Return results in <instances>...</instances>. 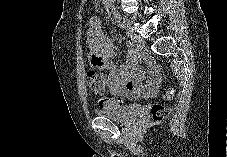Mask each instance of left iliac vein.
<instances>
[{"label":"left iliac vein","instance_id":"1","mask_svg":"<svg viewBox=\"0 0 227 157\" xmlns=\"http://www.w3.org/2000/svg\"><path fill=\"white\" fill-rule=\"evenodd\" d=\"M124 23H125V27L128 28L129 25H130V23L128 21H126ZM127 34L130 37V39L132 40V43L134 45H136L138 47H143L145 45V41L143 40V38H141L140 36H138L132 30L128 29Z\"/></svg>","mask_w":227,"mask_h":157}]
</instances>
